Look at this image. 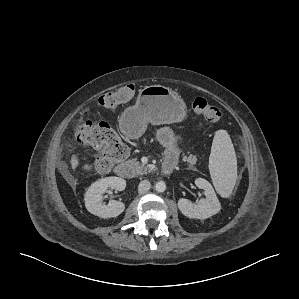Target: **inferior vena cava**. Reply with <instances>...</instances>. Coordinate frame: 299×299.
<instances>
[{
    "label": "inferior vena cava",
    "instance_id": "obj_1",
    "mask_svg": "<svg viewBox=\"0 0 299 299\" xmlns=\"http://www.w3.org/2000/svg\"><path fill=\"white\" fill-rule=\"evenodd\" d=\"M151 188V183L148 180H143L138 185V192L140 194L146 193Z\"/></svg>",
    "mask_w": 299,
    "mask_h": 299
}]
</instances>
